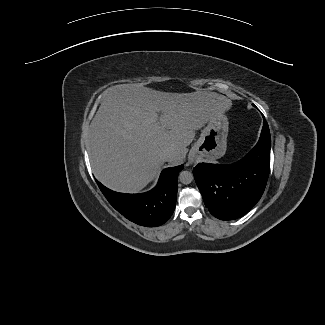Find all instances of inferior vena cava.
<instances>
[{
    "label": "inferior vena cava",
    "instance_id": "1",
    "mask_svg": "<svg viewBox=\"0 0 325 325\" xmlns=\"http://www.w3.org/2000/svg\"><path fill=\"white\" fill-rule=\"evenodd\" d=\"M173 154L171 151H164L161 153V160L162 161H169L171 160Z\"/></svg>",
    "mask_w": 325,
    "mask_h": 325
}]
</instances>
